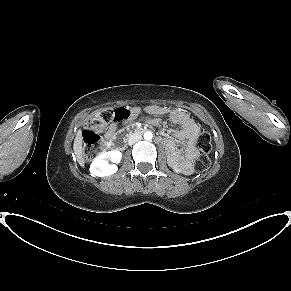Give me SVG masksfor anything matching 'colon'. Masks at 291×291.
<instances>
[{"label":"colon","mask_w":291,"mask_h":291,"mask_svg":"<svg viewBox=\"0 0 291 291\" xmlns=\"http://www.w3.org/2000/svg\"><path fill=\"white\" fill-rule=\"evenodd\" d=\"M130 110L127 108L107 109L97 113L87 123L83 132V156L89 162L106 149V144L101 138V133L106 131L112 122L128 118ZM196 147L199 155L195 160L194 166L198 172L207 170L211 161L208 156L212 150L211 137L208 132L202 131L196 139Z\"/></svg>","instance_id":"colon-1"}]
</instances>
